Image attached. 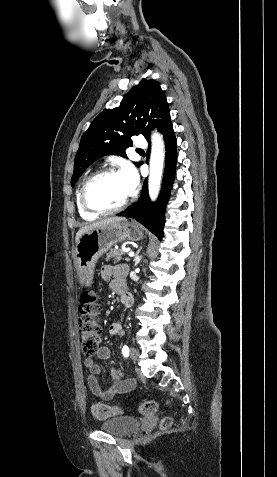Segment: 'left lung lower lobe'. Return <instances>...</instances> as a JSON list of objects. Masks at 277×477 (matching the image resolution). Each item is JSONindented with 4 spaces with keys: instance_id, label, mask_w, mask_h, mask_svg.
Segmentation results:
<instances>
[{
    "instance_id": "0a47b994",
    "label": "left lung lower lobe",
    "mask_w": 277,
    "mask_h": 477,
    "mask_svg": "<svg viewBox=\"0 0 277 477\" xmlns=\"http://www.w3.org/2000/svg\"><path fill=\"white\" fill-rule=\"evenodd\" d=\"M160 132L164 136L166 148L165 170L161 195L157 202H151L148 196L147 180H145L138 202L129 207L127 210L118 214V216L136 219L151 232H153L159 239H162L165 223V205L169 197V191L173 183L176 169L177 142L171 120L165 126H163Z\"/></svg>"
}]
</instances>
